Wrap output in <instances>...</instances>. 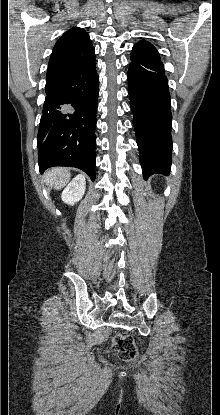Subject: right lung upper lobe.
<instances>
[{
    "label": "right lung upper lobe",
    "instance_id": "1",
    "mask_svg": "<svg viewBox=\"0 0 220 415\" xmlns=\"http://www.w3.org/2000/svg\"><path fill=\"white\" fill-rule=\"evenodd\" d=\"M95 61L94 47L89 35L81 28H71L56 42L51 54L46 81L75 70Z\"/></svg>",
    "mask_w": 220,
    "mask_h": 415
}]
</instances>
